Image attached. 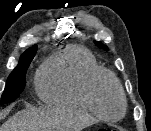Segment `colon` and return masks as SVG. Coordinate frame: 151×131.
I'll return each instance as SVG.
<instances>
[{"label": "colon", "instance_id": "colon-1", "mask_svg": "<svg viewBox=\"0 0 151 131\" xmlns=\"http://www.w3.org/2000/svg\"><path fill=\"white\" fill-rule=\"evenodd\" d=\"M96 131H123L120 128H107V127H101L98 128Z\"/></svg>", "mask_w": 151, "mask_h": 131}]
</instances>
